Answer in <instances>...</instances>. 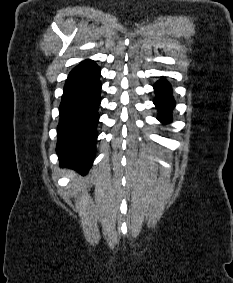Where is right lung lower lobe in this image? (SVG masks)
Returning <instances> with one entry per match:
<instances>
[{
	"mask_svg": "<svg viewBox=\"0 0 233 283\" xmlns=\"http://www.w3.org/2000/svg\"><path fill=\"white\" fill-rule=\"evenodd\" d=\"M100 68L85 60L69 74L59 107L56 151L60 164L81 174L90 169L96 149Z\"/></svg>",
	"mask_w": 233,
	"mask_h": 283,
	"instance_id": "obj_1",
	"label": "right lung lower lobe"
}]
</instances>
